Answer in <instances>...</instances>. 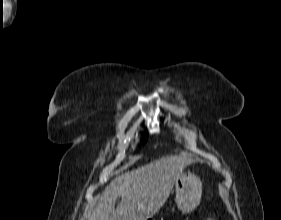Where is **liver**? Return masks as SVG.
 I'll return each instance as SVG.
<instances>
[{"label": "liver", "instance_id": "6515ba94", "mask_svg": "<svg viewBox=\"0 0 281 220\" xmlns=\"http://www.w3.org/2000/svg\"><path fill=\"white\" fill-rule=\"evenodd\" d=\"M192 163L185 154L161 157L116 177L104 189L89 220H147L168 199L183 169ZM121 201L115 208V202Z\"/></svg>", "mask_w": 281, "mask_h": 220}]
</instances>
